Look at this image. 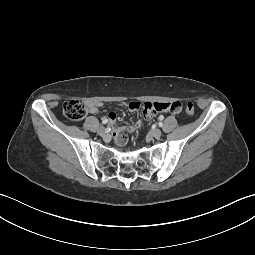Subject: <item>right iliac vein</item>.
<instances>
[{
    "mask_svg": "<svg viewBox=\"0 0 255 255\" xmlns=\"http://www.w3.org/2000/svg\"><path fill=\"white\" fill-rule=\"evenodd\" d=\"M105 133H106V129L104 127H100L98 129V134L99 135L103 136V135H105Z\"/></svg>",
    "mask_w": 255,
    "mask_h": 255,
    "instance_id": "63e3f726",
    "label": "right iliac vein"
}]
</instances>
